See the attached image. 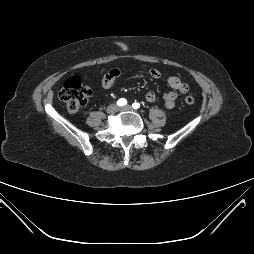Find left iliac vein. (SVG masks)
Masks as SVG:
<instances>
[{
  "mask_svg": "<svg viewBox=\"0 0 254 254\" xmlns=\"http://www.w3.org/2000/svg\"><path fill=\"white\" fill-rule=\"evenodd\" d=\"M119 110L130 111V110H132V107L130 105H127V106H123V107L119 108Z\"/></svg>",
  "mask_w": 254,
  "mask_h": 254,
  "instance_id": "1",
  "label": "left iliac vein"
}]
</instances>
